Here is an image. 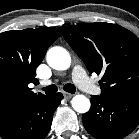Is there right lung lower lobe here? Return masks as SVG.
Listing matches in <instances>:
<instances>
[{"instance_id":"right-lung-lower-lobe-1","label":"right lung lower lobe","mask_w":139,"mask_h":139,"mask_svg":"<svg viewBox=\"0 0 139 139\" xmlns=\"http://www.w3.org/2000/svg\"><path fill=\"white\" fill-rule=\"evenodd\" d=\"M63 95L46 96L36 103L14 109L0 116L2 139H44L48 134L54 111Z\"/></svg>"}]
</instances>
